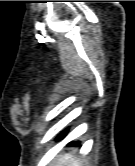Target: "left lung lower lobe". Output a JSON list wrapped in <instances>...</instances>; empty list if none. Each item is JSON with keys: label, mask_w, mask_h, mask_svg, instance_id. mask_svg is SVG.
Returning <instances> with one entry per match:
<instances>
[{"label": "left lung lower lobe", "mask_w": 135, "mask_h": 166, "mask_svg": "<svg viewBox=\"0 0 135 166\" xmlns=\"http://www.w3.org/2000/svg\"><path fill=\"white\" fill-rule=\"evenodd\" d=\"M67 132H68V130H64V131L57 137V140L63 139V138L67 135ZM79 143H80L79 141H73V142L70 143V145L77 146V145H79Z\"/></svg>", "instance_id": "0a47b994"}]
</instances>
